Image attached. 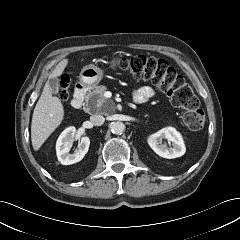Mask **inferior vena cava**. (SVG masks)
<instances>
[{
  "label": "inferior vena cava",
  "instance_id": "602c4592",
  "mask_svg": "<svg viewBox=\"0 0 240 240\" xmlns=\"http://www.w3.org/2000/svg\"><path fill=\"white\" fill-rule=\"evenodd\" d=\"M90 121L95 126H101L104 123L105 118L102 115L95 114L90 117Z\"/></svg>",
  "mask_w": 240,
  "mask_h": 240
}]
</instances>
